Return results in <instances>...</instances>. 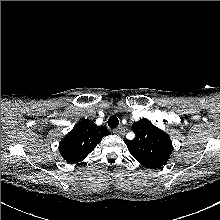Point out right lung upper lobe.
I'll return each mask as SVG.
<instances>
[{"instance_id": "right-lung-upper-lobe-1", "label": "right lung upper lobe", "mask_w": 220, "mask_h": 220, "mask_svg": "<svg viewBox=\"0 0 220 220\" xmlns=\"http://www.w3.org/2000/svg\"><path fill=\"white\" fill-rule=\"evenodd\" d=\"M110 131L88 119L79 121L59 143L61 156L68 163L82 161Z\"/></svg>"}]
</instances>
